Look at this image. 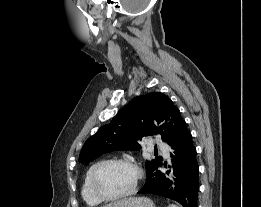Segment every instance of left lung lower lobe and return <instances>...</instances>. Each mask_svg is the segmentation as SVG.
Masks as SVG:
<instances>
[{"instance_id": "1", "label": "left lung lower lobe", "mask_w": 261, "mask_h": 207, "mask_svg": "<svg viewBox=\"0 0 261 207\" xmlns=\"http://www.w3.org/2000/svg\"><path fill=\"white\" fill-rule=\"evenodd\" d=\"M171 162L160 164L147 174V180L138 194H154L179 202L183 207H197L199 166L196 148L186 122L183 120L170 144Z\"/></svg>"}]
</instances>
